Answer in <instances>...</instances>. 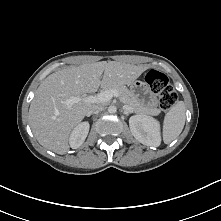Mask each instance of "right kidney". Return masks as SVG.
<instances>
[{"label": "right kidney", "mask_w": 221, "mask_h": 221, "mask_svg": "<svg viewBox=\"0 0 221 221\" xmlns=\"http://www.w3.org/2000/svg\"><path fill=\"white\" fill-rule=\"evenodd\" d=\"M89 127L88 122H82L73 129L69 138L71 148L77 149L84 143L89 132Z\"/></svg>", "instance_id": "right-kidney-1"}]
</instances>
